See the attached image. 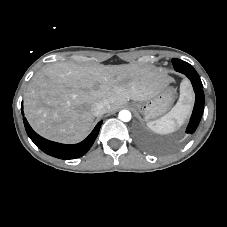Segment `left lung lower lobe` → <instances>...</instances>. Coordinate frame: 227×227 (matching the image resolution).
Returning a JSON list of instances; mask_svg holds the SVG:
<instances>
[{
	"label": "left lung lower lobe",
	"mask_w": 227,
	"mask_h": 227,
	"mask_svg": "<svg viewBox=\"0 0 227 227\" xmlns=\"http://www.w3.org/2000/svg\"><path fill=\"white\" fill-rule=\"evenodd\" d=\"M176 71L185 74L190 79L196 95L193 113L186 129L187 134H193L201 120L204 110V92L202 90V82L193 67L183 66V68H178Z\"/></svg>",
	"instance_id": "0a47b994"
}]
</instances>
